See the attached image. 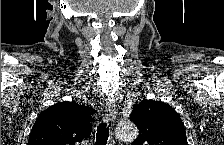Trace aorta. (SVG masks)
I'll use <instances>...</instances> for the list:
<instances>
[{
    "instance_id": "aorta-1",
    "label": "aorta",
    "mask_w": 224,
    "mask_h": 145,
    "mask_svg": "<svg viewBox=\"0 0 224 145\" xmlns=\"http://www.w3.org/2000/svg\"><path fill=\"white\" fill-rule=\"evenodd\" d=\"M115 136L121 141H133L138 137V129L132 122H123L117 125Z\"/></svg>"
}]
</instances>
